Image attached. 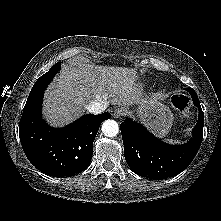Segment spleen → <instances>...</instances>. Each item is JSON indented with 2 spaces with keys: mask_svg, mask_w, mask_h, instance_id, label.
<instances>
[{
  "mask_svg": "<svg viewBox=\"0 0 221 221\" xmlns=\"http://www.w3.org/2000/svg\"><path fill=\"white\" fill-rule=\"evenodd\" d=\"M167 141H168L169 143H178V141L173 140V139H167Z\"/></svg>",
  "mask_w": 221,
  "mask_h": 221,
  "instance_id": "3e777b00",
  "label": "spleen"
}]
</instances>
